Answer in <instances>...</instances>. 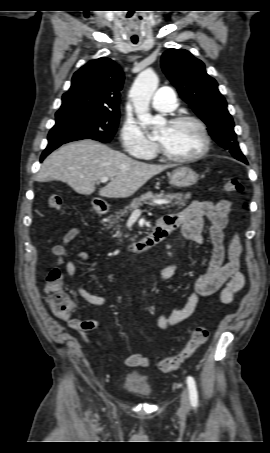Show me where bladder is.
I'll use <instances>...</instances> for the list:
<instances>
[{
  "label": "bladder",
  "mask_w": 270,
  "mask_h": 453,
  "mask_svg": "<svg viewBox=\"0 0 270 453\" xmlns=\"http://www.w3.org/2000/svg\"><path fill=\"white\" fill-rule=\"evenodd\" d=\"M123 387L129 392L143 397H148L152 393L149 380L139 372L129 373L125 378Z\"/></svg>",
  "instance_id": "31cf9c89"
}]
</instances>
